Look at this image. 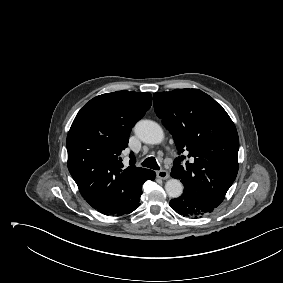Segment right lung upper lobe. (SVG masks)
Returning a JSON list of instances; mask_svg holds the SVG:
<instances>
[{"mask_svg": "<svg viewBox=\"0 0 283 283\" xmlns=\"http://www.w3.org/2000/svg\"><path fill=\"white\" fill-rule=\"evenodd\" d=\"M145 92L116 91L91 99L76 115L67 135L68 169L84 199L104 214L128 213L140 201L152 170L123 168L121 152L130 132L151 107Z\"/></svg>", "mask_w": 283, "mask_h": 283, "instance_id": "cb5924a9", "label": "right lung upper lobe"}]
</instances>
